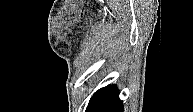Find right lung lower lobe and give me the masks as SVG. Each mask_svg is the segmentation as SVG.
Instances as JSON below:
<instances>
[{"mask_svg":"<svg viewBox=\"0 0 193 112\" xmlns=\"http://www.w3.org/2000/svg\"><path fill=\"white\" fill-rule=\"evenodd\" d=\"M86 112H123L119 91L115 85L99 89L89 101Z\"/></svg>","mask_w":193,"mask_h":112,"instance_id":"1","label":"right lung lower lobe"}]
</instances>
